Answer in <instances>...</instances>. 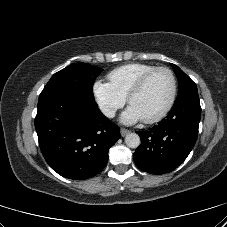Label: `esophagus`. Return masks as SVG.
<instances>
[{"instance_id":"obj_1","label":"esophagus","mask_w":227,"mask_h":227,"mask_svg":"<svg viewBox=\"0 0 227 227\" xmlns=\"http://www.w3.org/2000/svg\"><path fill=\"white\" fill-rule=\"evenodd\" d=\"M120 132H121V136L124 137L130 132V130L121 128Z\"/></svg>"}]
</instances>
